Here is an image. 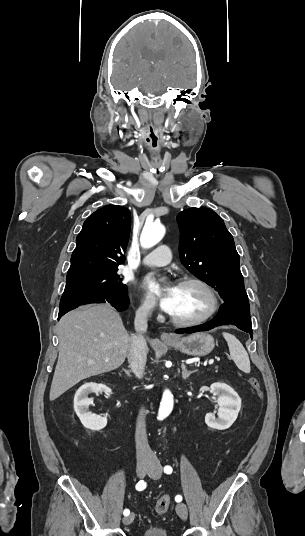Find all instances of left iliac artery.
<instances>
[{
  "label": "left iliac artery",
  "instance_id": "left-iliac-artery-1",
  "mask_svg": "<svg viewBox=\"0 0 305 536\" xmlns=\"http://www.w3.org/2000/svg\"><path fill=\"white\" fill-rule=\"evenodd\" d=\"M164 472H165L166 474H171V473H172V468H171V466H165V467H164ZM175 501H176V502H181V501H182V496L177 495V496L175 497Z\"/></svg>",
  "mask_w": 305,
  "mask_h": 536
}]
</instances>
